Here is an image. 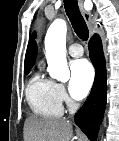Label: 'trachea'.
Here are the masks:
<instances>
[{"instance_id":"1","label":"trachea","mask_w":119,"mask_h":141,"mask_svg":"<svg viewBox=\"0 0 119 141\" xmlns=\"http://www.w3.org/2000/svg\"><path fill=\"white\" fill-rule=\"evenodd\" d=\"M64 7L75 33L82 40H87L88 27L80 13L77 0H64Z\"/></svg>"}]
</instances>
